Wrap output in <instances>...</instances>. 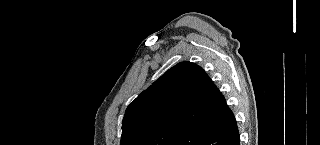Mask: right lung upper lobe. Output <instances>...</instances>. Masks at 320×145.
<instances>
[{
    "instance_id": "cb5924a9",
    "label": "right lung upper lobe",
    "mask_w": 320,
    "mask_h": 145,
    "mask_svg": "<svg viewBox=\"0 0 320 145\" xmlns=\"http://www.w3.org/2000/svg\"><path fill=\"white\" fill-rule=\"evenodd\" d=\"M224 97L206 72L191 62L169 69L126 109L121 145H135L145 136L182 130L214 116Z\"/></svg>"
}]
</instances>
